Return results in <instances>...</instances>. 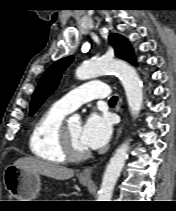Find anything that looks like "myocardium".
Returning a JSON list of instances; mask_svg holds the SVG:
<instances>
[{
  "instance_id": "f54148a6",
  "label": "myocardium",
  "mask_w": 176,
  "mask_h": 211,
  "mask_svg": "<svg viewBox=\"0 0 176 211\" xmlns=\"http://www.w3.org/2000/svg\"><path fill=\"white\" fill-rule=\"evenodd\" d=\"M59 139L62 151L67 160L81 161L90 155L89 150H78L74 147L67 130V124L62 123L59 129Z\"/></svg>"
}]
</instances>
